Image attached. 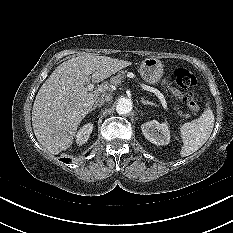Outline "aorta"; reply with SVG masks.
Here are the masks:
<instances>
[{
	"label": "aorta",
	"mask_w": 233,
	"mask_h": 233,
	"mask_svg": "<svg viewBox=\"0 0 233 233\" xmlns=\"http://www.w3.org/2000/svg\"><path fill=\"white\" fill-rule=\"evenodd\" d=\"M133 109V103L132 100L129 98H121L116 107V111L120 115L128 114Z\"/></svg>",
	"instance_id": "aorta-1"
}]
</instances>
